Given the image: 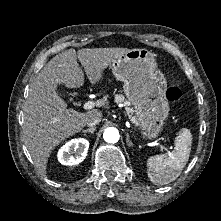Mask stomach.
<instances>
[{
    "instance_id": "0dacf381",
    "label": "stomach",
    "mask_w": 221,
    "mask_h": 221,
    "mask_svg": "<svg viewBox=\"0 0 221 221\" xmlns=\"http://www.w3.org/2000/svg\"><path fill=\"white\" fill-rule=\"evenodd\" d=\"M115 78L135 108L144 138L152 140L163 130L170 111L164 94L167 81L158 69L154 54L147 49H130L111 65Z\"/></svg>"
}]
</instances>
